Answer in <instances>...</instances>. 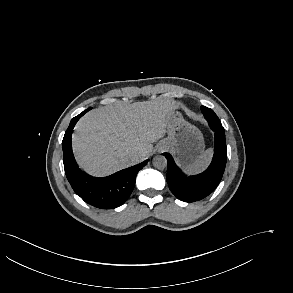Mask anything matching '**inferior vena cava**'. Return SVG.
<instances>
[{
  "instance_id": "obj_1",
  "label": "inferior vena cava",
  "mask_w": 293,
  "mask_h": 293,
  "mask_svg": "<svg viewBox=\"0 0 293 293\" xmlns=\"http://www.w3.org/2000/svg\"><path fill=\"white\" fill-rule=\"evenodd\" d=\"M134 159H135L136 161H139V160H140V155H139V154H135V155H134Z\"/></svg>"
}]
</instances>
